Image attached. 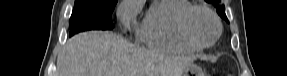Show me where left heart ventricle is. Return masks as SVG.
Masks as SVG:
<instances>
[{
  "label": "left heart ventricle",
  "instance_id": "b2bd125f",
  "mask_svg": "<svg viewBox=\"0 0 287 76\" xmlns=\"http://www.w3.org/2000/svg\"><path fill=\"white\" fill-rule=\"evenodd\" d=\"M189 30L199 42L206 43L216 34V25L212 18L203 11H196L189 20Z\"/></svg>",
  "mask_w": 287,
  "mask_h": 76
}]
</instances>
